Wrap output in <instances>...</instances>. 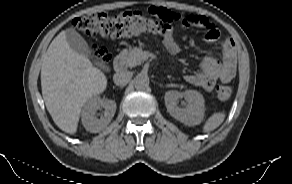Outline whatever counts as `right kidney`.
Returning a JSON list of instances; mask_svg holds the SVG:
<instances>
[{
    "label": "right kidney",
    "instance_id": "ca27d5eb",
    "mask_svg": "<svg viewBox=\"0 0 292 184\" xmlns=\"http://www.w3.org/2000/svg\"><path fill=\"white\" fill-rule=\"evenodd\" d=\"M104 108V114L98 119L96 112ZM116 111V102L113 100H102L96 96L87 101L81 113V121L85 129L91 133H98L104 129L112 120Z\"/></svg>",
    "mask_w": 292,
    "mask_h": 184
}]
</instances>
